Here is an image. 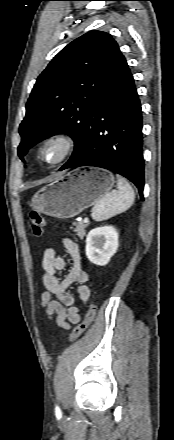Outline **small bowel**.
Here are the masks:
<instances>
[{"label": "small bowel", "mask_w": 174, "mask_h": 440, "mask_svg": "<svg viewBox=\"0 0 174 440\" xmlns=\"http://www.w3.org/2000/svg\"><path fill=\"white\" fill-rule=\"evenodd\" d=\"M62 242L72 258V267L68 274L60 279L58 273L66 268V260L57 255L52 248L44 251L42 281L45 291L41 296V306L49 318L55 319L58 326L69 329L71 325L80 322L81 306L87 303L90 297V288L87 285L88 274L82 267L79 246L70 238H64ZM73 284L78 285L79 304H75L74 298L68 290Z\"/></svg>", "instance_id": "1"}]
</instances>
